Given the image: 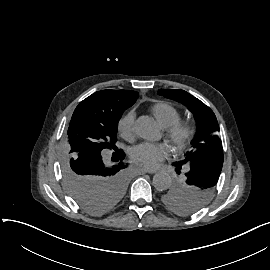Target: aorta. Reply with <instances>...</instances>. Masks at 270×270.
Listing matches in <instances>:
<instances>
[{
	"label": "aorta",
	"mask_w": 270,
	"mask_h": 270,
	"mask_svg": "<svg viewBox=\"0 0 270 270\" xmlns=\"http://www.w3.org/2000/svg\"><path fill=\"white\" fill-rule=\"evenodd\" d=\"M172 183L171 177L168 173L158 172L153 177V186L159 190H166Z\"/></svg>",
	"instance_id": "obj_1"
}]
</instances>
